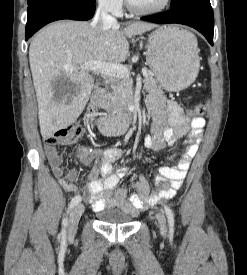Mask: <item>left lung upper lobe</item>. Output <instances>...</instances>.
I'll return each mask as SVG.
<instances>
[{"label":"left lung upper lobe","mask_w":247,"mask_h":275,"mask_svg":"<svg viewBox=\"0 0 247 275\" xmlns=\"http://www.w3.org/2000/svg\"><path fill=\"white\" fill-rule=\"evenodd\" d=\"M195 1H200V0H172L171 1V9L180 7L182 5L195 2Z\"/></svg>","instance_id":"obj_1"}]
</instances>
